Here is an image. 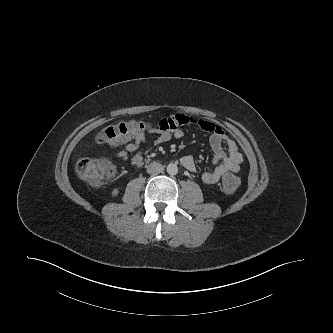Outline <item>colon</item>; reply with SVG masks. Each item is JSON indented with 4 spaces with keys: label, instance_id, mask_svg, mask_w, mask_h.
<instances>
[{
    "label": "colon",
    "instance_id": "5ec220e1",
    "mask_svg": "<svg viewBox=\"0 0 333 333\" xmlns=\"http://www.w3.org/2000/svg\"><path fill=\"white\" fill-rule=\"evenodd\" d=\"M146 129L147 124L142 121H122L104 128L96 140L101 145L123 144L144 134ZM76 170L92 186H101L116 173L115 165L104 158H82L78 161ZM239 183V178L233 174L224 175L222 180V186L227 192L235 191Z\"/></svg>",
    "mask_w": 333,
    "mask_h": 333
}]
</instances>
